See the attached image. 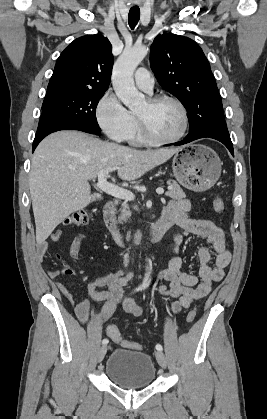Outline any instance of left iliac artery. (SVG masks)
I'll use <instances>...</instances> for the list:
<instances>
[{
    "label": "left iliac artery",
    "instance_id": "44dca946",
    "mask_svg": "<svg viewBox=\"0 0 267 419\" xmlns=\"http://www.w3.org/2000/svg\"><path fill=\"white\" fill-rule=\"evenodd\" d=\"M156 349H157L158 351H162V350H163V347H162V345L157 344V345H156Z\"/></svg>",
    "mask_w": 267,
    "mask_h": 419
}]
</instances>
